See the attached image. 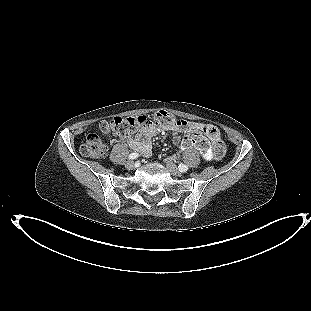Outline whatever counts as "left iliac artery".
I'll return each instance as SVG.
<instances>
[{"label":"left iliac artery","instance_id":"obj_1","mask_svg":"<svg viewBox=\"0 0 311 311\" xmlns=\"http://www.w3.org/2000/svg\"><path fill=\"white\" fill-rule=\"evenodd\" d=\"M178 168L181 172H186L188 170V166L185 164H180Z\"/></svg>","mask_w":311,"mask_h":311}]
</instances>
